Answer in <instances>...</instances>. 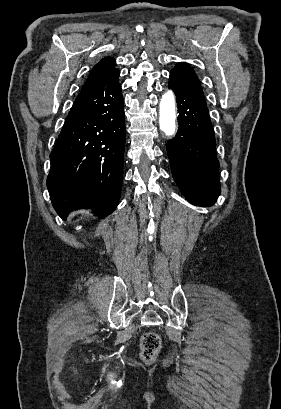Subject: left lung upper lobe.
<instances>
[{"label": "left lung upper lobe", "instance_id": "obj_1", "mask_svg": "<svg viewBox=\"0 0 281 409\" xmlns=\"http://www.w3.org/2000/svg\"><path fill=\"white\" fill-rule=\"evenodd\" d=\"M173 70H177L180 71L184 74H186L188 77H190L191 79H193L198 85H200L199 80L196 76V74L194 73V71L192 70V68H190L187 64L185 63H179L175 66V68H173ZM201 86V85H200Z\"/></svg>", "mask_w": 281, "mask_h": 409}]
</instances>
